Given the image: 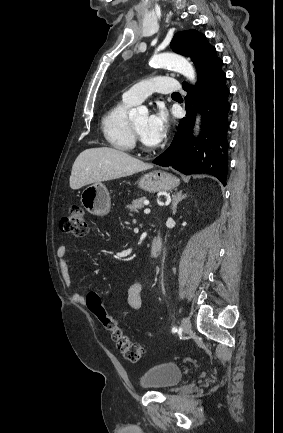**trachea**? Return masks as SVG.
Wrapping results in <instances>:
<instances>
[{
	"label": "trachea",
	"mask_w": 283,
	"mask_h": 433,
	"mask_svg": "<svg viewBox=\"0 0 283 433\" xmlns=\"http://www.w3.org/2000/svg\"><path fill=\"white\" fill-rule=\"evenodd\" d=\"M172 95H180V93L174 92V93H172Z\"/></svg>",
	"instance_id": "trachea-1"
}]
</instances>
